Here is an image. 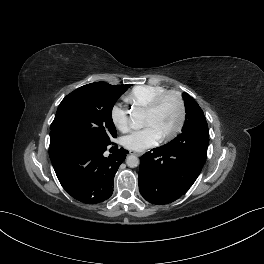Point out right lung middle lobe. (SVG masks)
I'll return each mask as SVG.
<instances>
[{
    "label": "right lung middle lobe",
    "mask_w": 264,
    "mask_h": 264,
    "mask_svg": "<svg viewBox=\"0 0 264 264\" xmlns=\"http://www.w3.org/2000/svg\"><path fill=\"white\" fill-rule=\"evenodd\" d=\"M128 88L96 82L71 92L60 103L51 124L50 146L67 140L111 144L110 139L117 137L112 108Z\"/></svg>",
    "instance_id": "right-lung-middle-lobe-1"
}]
</instances>
